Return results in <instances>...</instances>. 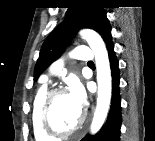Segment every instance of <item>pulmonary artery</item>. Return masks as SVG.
I'll return each mask as SVG.
<instances>
[{"label":"pulmonary artery","mask_w":155,"mask_h":141,"mask_svg":"<svg viewBox=\"0 0 155 141\" xmlns=\"http://www.w3.org/2000/svg\"><path fill=\"white\" fill-rule=\"evenodd\" d=\"M72 57L81 62H91L93 60L90 48L84 45L76 48L72 53ZM60 67H61V63H57L55 65V69H58Z\"/></svg>","instance_id":"pulmonary-artery-1"}]
</instances>
